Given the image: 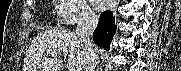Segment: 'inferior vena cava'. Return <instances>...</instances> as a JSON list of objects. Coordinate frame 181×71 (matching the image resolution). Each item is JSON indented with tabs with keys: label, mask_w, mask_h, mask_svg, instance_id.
<instances>
[{
	"label": "inferior vena cava",
	"mask_w": 181,
	"mask_h": 71,
	"mask_svg": "<svg viewBox=\"0 0 181 71\" xmlns=\"http://www.w3.org/2000/svg\"><path fill=\"white\" fill-rule=\"evenodd\" d=\"M98 23V17L94 13L85 12L78 21L76 35L86 52V67L85 71H95L98 64V56L96 48L90 36L94 32Z\"/></svg>",
	"instance_id": "obj_1"
}]
</instances>
